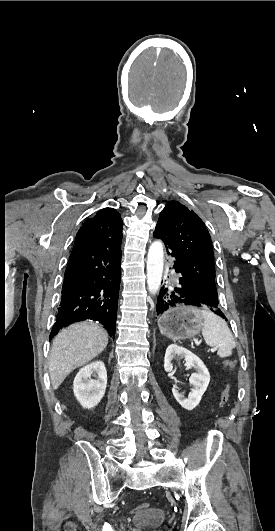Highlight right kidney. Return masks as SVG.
<instances>
[{
	"label": "right kidney",
	"mask_w": 275,
	"mask_h": 531,
	"mask_svg": "<svg viewBox=\"0 0 275 531\" xmlns=\"http://www.w3.org/2000/svg\"><path fill=\"white\" fill-rule=\"evenodd\" d=\"M92 375L96 379H90ZM106 387L107 371L103 361H93L80 369L73 383L74 395L84 409L96 407L103 399Z\"/></svg>",
	"instance_id": "1"
}]
</instances>
